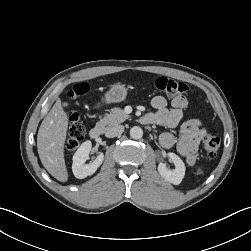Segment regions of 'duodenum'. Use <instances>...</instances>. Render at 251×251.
<instances>
[{
  "instance_id": "410a0bca",
  "label": "duodenum",
  "mask_w": 251,
  "mask_h": 251,
  "mask_svg": "<svg viewBox=\"0 0 251 251\" xmlns=\"http://www.w3.org/2000/svg\"><path fill=\"white\" fill-rule=\"evenodd\" d=\"M140 121L142 124H146V125L152 124V119L148 115L143 116L140 119ZM102 132H103V129L101 126H94L90 130L89 135L92 139H98L102 135Z\"/></svg>"
}]
</instances>
